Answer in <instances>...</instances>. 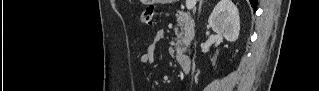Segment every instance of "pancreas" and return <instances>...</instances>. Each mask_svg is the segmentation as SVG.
<instances>
[{
  "mask_svg": "<svg viewBox=\"0 0 319 91\" xmlns=\"http://www.w3.org/2000/svg\"><path fill=\"white\" fill-rule=\"evenodd\" d=\"M176 18L178 22V28L175 30L177 38L171 47L170 55L173 58L180 59L193 38L194 27L191 17L186 13L178 11Z\"/></svg>",
  "mask_w": 319,
  "mask_h": 91,
  "instance_id": "pancreas-1",
  "label": "pancreas"
}]
</instances>
